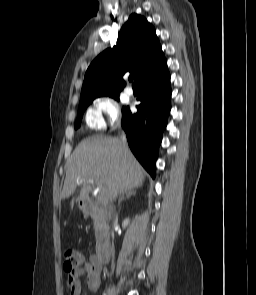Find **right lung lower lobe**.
Returning <instances> with one entry per match:
<instances>
[{
	"instance_id": "right-lung-lower-lobe-1",
	"label": "right lung lower lobe",
	"mask_w": 256,
	"mask_h": 295,
	"mask_svg": "<svg viewBox=\"0 0 256 295\" xmlns=\"http://www.w3.org/2000/svg\"><path fill=\"white\" fill-rule=\"evenodd\" d=\"M139 88L137 113L129 107L122 110V127L128 144L142 166L154 177L158 147L171 109L170 74L164 59L137 81Z\"/></svg>"
}]
</instances>
